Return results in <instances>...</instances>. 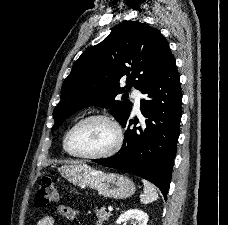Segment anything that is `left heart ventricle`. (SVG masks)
Here are the masks:
<instances>
[{"mask_svg":"<svg viewBox=\"0 0 228 225\" xmlns=\"http://www.w3.org/2000/svg\"><path fill=\"white\" fill-rule=\"evenodd\" d=\"M114 141L111 126L101 120H89L70 134L68 148L76 154H99L109 150Z\"/></svg>","mask_w":228,"mask_h":225,"instance_id":"b2bd125f","label":"left heart ventricle"}]
</instances>
